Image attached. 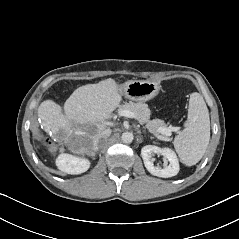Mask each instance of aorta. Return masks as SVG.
<instances>
[{"label": "aorta", "instance_id": "762f6f07", "mask_svg": "<svg viewBox=\"0 0 239 239\" xmlns=\"http://www.w3.org/2000/svg\"><path fill=\"white\" fill-rule=\"evenodd\" d=\"M121 138L124 143H131L133 141V134L131 132H124Z\"/></svg>", "mask_w": 239, "mask_h": 239}]
</instances>
